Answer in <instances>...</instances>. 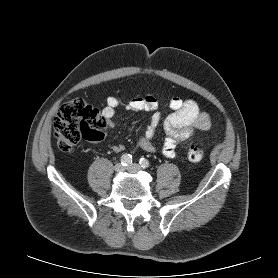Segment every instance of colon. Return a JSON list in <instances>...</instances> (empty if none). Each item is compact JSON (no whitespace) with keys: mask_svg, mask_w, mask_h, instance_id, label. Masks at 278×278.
<instances>
[{"mask_svg":"<svg viewBox=\"0 0 278 278\" xmlns=\"http://www.w3.org/2000/svg\"><path fill=\"white\" fill-rule=\"evenodd\" d=\"M106 119L99 109L82 99H74L63 104L54 119V136L62 152L71 151L82 139L97 141L103 138L102 130ZM202 148L192 145L187 151L191 162L204 158Z\"/></svg>","mask_w":278,"mask_h":278,"instance_id":"colon-1","label":"colon"}]
</instances>
